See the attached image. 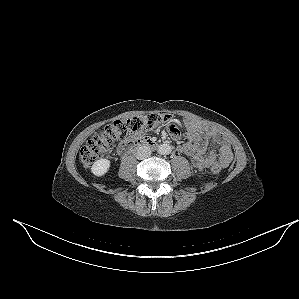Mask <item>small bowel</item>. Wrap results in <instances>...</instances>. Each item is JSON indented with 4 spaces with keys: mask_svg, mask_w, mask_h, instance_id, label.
<instances>
[{
    "mask_svg": "<svg viewBox=\"0 0 299 299\" xmlns=\"http://www.w3.org/2000/svg\"><path fill=\"white\" fill-rule=\"evenodd\" d=\"M189 129H194L202 137V142L198 146H192L188 142L179 144L178 151L187 155L192 165L198 170H204L216 163H219L222 168L228 166L233 154L229 143L215 130H206L203 126L193 122L188 123ZM172 134V133H171ZM175 138L178 134H172ZM209 139H212L219 146V151H208Z\"/></svg>",
    "mask_w": 299,
    "mask_h": 299,
    "instance_id": "c3829d8e",
    "label": "small bowel"
}]
</instances>
